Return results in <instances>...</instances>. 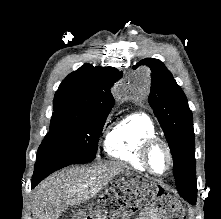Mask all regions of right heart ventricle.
Wrapping results in <instances>:
<instances>
[{
    "mask_svg": "<svg viewBox=\"0 0 221 219\" xmlns=\"http://www.w3.org/2000/svg\"><path fill=\"white\" fill-rule=\"evenodd\" d=\"M157 135L153 120L146 113L134 112L115 123L108 131L104 149L108 157L146 171L139 157L142 142Z\"/></svg>",
    "mask_w": 221,
    "mask_h": 219,
    "instance_id": "obj_1",
    "label": "right heart ventricle"
}]
</instances>
